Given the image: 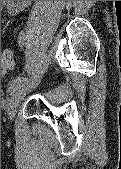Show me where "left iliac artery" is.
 I'll use <instances>...</instances> for the list:
<instances>
[{"label":"left iliac artery","mask_w":121,"mask_h":169,"mask_svg":"<svg viewBox=\"0 0 121 169\" xmlns=\"http://www.w3.org/2000/svg\"><path fill=\"white\" fill-rule=\"evenodd\" d=\"M16 39H19L18 41L20 42L21 40V34H16ZM28 82V78L27 77H18L16 79H14L11 83V88L13 90V92L21 87L22 85L26 84Z\"/></svg>","instance_id":"left-iliac-artery-1"}]
</instances>
